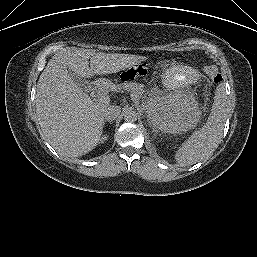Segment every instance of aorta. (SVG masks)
<instances>
[{"label": "aorta", "mask_w": 257, "mask_h": 257, "mask_svg": "<svg viewBox=\"0 0 257 257\" xmlns=\"http://www.w3.org/2000/svg\"><path fill=\"white\" fill-rule=\"evenodd\" d=\"M124 120L128 123H134L137 121V113L132 108H126L123 111Z\"/></svg>", "instance_id": "762f6f07"}]
</instances>
